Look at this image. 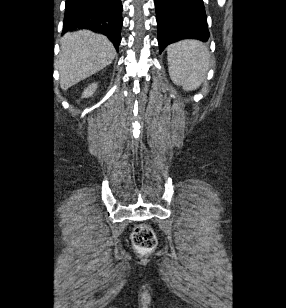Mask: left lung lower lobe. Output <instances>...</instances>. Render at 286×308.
Listing matches in <instances>:
<instances>
[{"mask_svg": "<svg viewBox=\"0 0 286 308\" xmlns=\"http://www.w3.org/2000/svg\"><path fill=\"white\" fill-rule=\"evenodd\" d=\"M155 8L160 53L181 39L208 40L203 0H155Z\"/></svg>", "mask_w": 286, "mask_h": 308, "instance_id": "0a47b994", "label": "left lung lower lobe"}]
</instances>
